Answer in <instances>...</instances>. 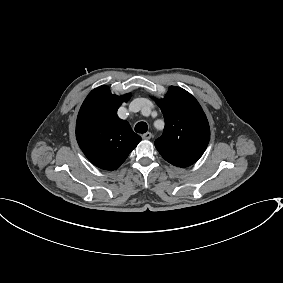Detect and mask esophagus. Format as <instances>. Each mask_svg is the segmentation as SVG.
I'll return each instance as SVG.
<instances>
[{
  "instance_id": "34e87169",
  "label": "esophagus",
  "mask_w": 283,
  "mask_h": 283,
  "mask_svg": "<svg viewBox=\"0 0 283 283\" xmlns=\"http://www.w3.org/2000/svg\"><path fill=\"white\" fill-rule=\"evenodd\" d=\"M152 137V134L150 132H147V133H144L142 135V138L145 139V140H148Z\"/></svg>"
}]
</instances>
